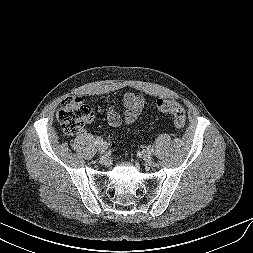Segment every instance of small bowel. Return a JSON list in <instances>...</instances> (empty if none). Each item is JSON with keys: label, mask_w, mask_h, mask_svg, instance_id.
Masks as SVG:
<instances>
[{"label": "small bowel", "mask_w": 253, "mask_h": 253, "mask_svg": "<svg viewBox=\"0 0 253 253\" xmlns=\"http://www.w3.org/2000/svg\"><path fill=\"white\" fill-rule=\"evenodd\" d=\"M122 102L125 106L124 118L116 111L114 104H110L107 107L106 117L109 124L113 127L120 126L122 123L130 125L136 122L145 104V100L141 95L131 92L123 95Z\"/></svg>", "instance_id": "c3829d8e"}]
</instances>
